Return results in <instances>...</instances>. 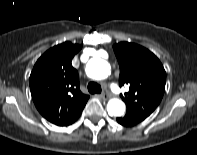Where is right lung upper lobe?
<instances>
[{
  "mask_svg": "<svg viewBox=\"0 0 197 155\" xmlns=\"http://www.w3.org/2000/svg\"><path fill=\"white\" fill-rule=\"evenodd\" d=\"M81 45L64 42L46 51L35 63L29 84L37 110L51 123L67 126L81 115L88 95L79 88L71 61Z\"/></svg>",
  "mask_w": 197,
  "mask_h": 155,
  "instance_id": "cb5924a9",
  "label": "right lung upper lobe"
}]
</instances>
